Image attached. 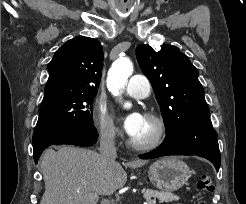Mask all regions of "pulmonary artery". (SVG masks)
<instances>
[{"label": "pulmonary artery", "instance_id": "e3ab8cb5", "mask_svg": "<svg viewBox=\"0 0 246 204\" xmlns=\"http://www.w3.org/2000/svg\"><path fill=\"white\" fill-rule=\"evenodd\" d=\"M150 91V82L143 75L132 76L125 88L126 94L133 98H145L150 94Z\"/></svg>", "mask_w": 246, "mask_h": 204}]
</instances>
